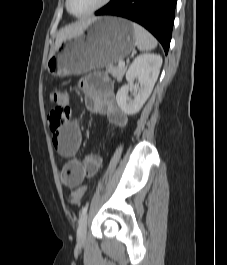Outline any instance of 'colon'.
<instances>
[{"mask_svg": "<svg viewBox=\"0 0 227 265\" xmlns=\"http://www.w3.org/2000/svg\"><path fill=\"white\" fill-rule=\"evenodd\" d=\"M51 101L56 105L49 115V126L52 131L59 130L67 123L70 118L71 110L69 103V95L65 91H53L50 95ZM68 167L64 165L62 175L68 174ZM86 191L85 186L75 189L70 196V201L73 205H78Z\"/></svg>", "mask_w": 227, "mask_h": 265, "instance_id": "1", "label": "colon"}]
</instances>
